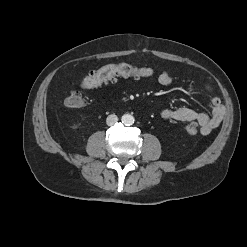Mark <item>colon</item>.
<instances>
[{"mask_svg":"<svg viewBox=\"0 0 247 247\" xmlns=\"http://www.w3.org/2000/svg\"><path fill=\"white\" fill-rule=\"evenodd\" d=\"M153 70L145 67H135L130 64H109L95 71L90 72L81 82L83 89L96 88L102 84L111 82L117 77H150ZM85 103V97L79 90H70L64 100V105L69 108H79ZM185 131L189 135H195L199 132V126L191 123L186 126Z\"/></svg>","mask_w":247,"mask_h":247,"instance_id":"5ec220e1","label":"colon"}]
</instances>
